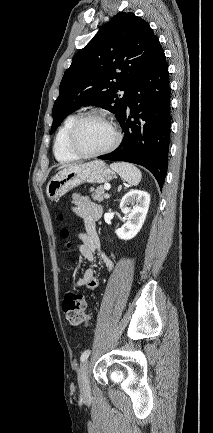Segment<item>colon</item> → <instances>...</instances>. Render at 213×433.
Returning <instances> with one entry per match:
<instances>
[{
  "label": "colon",
  "mask_w": 213,
  "mask_h": 433,
  "mask_svg": "<svg viewBox=\"0 0 213 433\" xmlns=\"http://www.w3.org/2000/svg\"><path fill=\"white\" fill-rule=\"evenodd\" d=\"M60 219H63L62 215ZM60 235L63 239L67 240L69 238V231L63 228ZM67 247H70L69 242H67ZM62 309L69 326L72 328L80 327L88 320L86 302L84 297L79 293L74 291L67 292L62 302Z\"/></svg>",
  "instance_id": "colon-1"
}]
</instances>
